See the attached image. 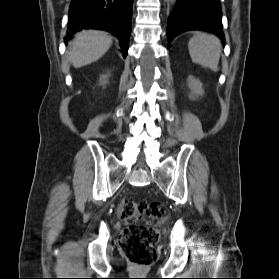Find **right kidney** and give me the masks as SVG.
Segmentation results:
<instances>
[{
	"mask_svg": "<svg viewBox=\"0 0 279 279\" xmlns=\"http://www.w3.org/2000/svg\"><path fill=\"white\" fill-rule=\"evenodd\" d=\"M110 76V74H107V75H102L100 77V85H105L108 83V77Z\"/></svg>",
	"mask_w": 279,
	"mask_h": 279,
	"instance_id": "1",
	"label": "right kidney"
}]
</instances>
